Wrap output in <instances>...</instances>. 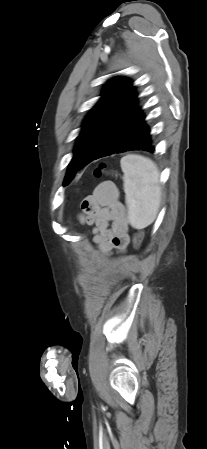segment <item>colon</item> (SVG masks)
I'll list each match as a JSON object with an SVG mask.
<instances>
[{
    "instance_id": "1",
    "label": "colon",
    "mask_w": 207,
    "mask_h": 449,
    "mask_svg": "<svg viewBox=\"0 0 207 449\" xmlns=\"http://www.w3.org/2000/svg\"><path fill=\"white\" fill-rule=\"evenodd\" d=\"M95 177H102L104 175H115L114 172L110 171L107 168V165L105 163H100L94 170ZM144 238V232L138 231L133 236V245L136 249H138L141 246L142 240Z\"/></svg>"
}]
</instances>
